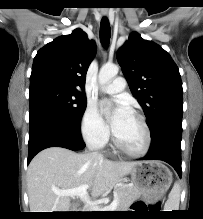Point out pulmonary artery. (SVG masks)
Here are the masks:
<instances>
[{"label": "pulmonary artery", "mask_w": 203, "mask_h": 219, "mask_svg": "<svg viewBox=\"0 0 203 219\" xmlns=\"http://www.w3.org/2000/svg\"><path fill=\"white\" fill-rule=\"evenodd\" d=\"M126 87V81L123 77L115 78L112 83L103 87V91L108 94H117Z\"/></svg>", "instance_id": "pulmonary-artery-1"}]
</instances>
